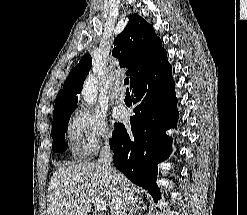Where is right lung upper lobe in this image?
<instances>
[{"label": "right lung upper lobe", "mask_w": 247, "mask_h": 215, "mask_svg": "<svg viewBox=\"0 0 247 215\" xmlns=\"http://www.w3.org/2000/svg\"><path fill=\"white\" fill-rule=\"evenodd\" d=\"M164 52L153 27L138 14H134L123 32L115 38L112 55L119 60L121 67L128 68L126 74L132 83L152 67ZM91 63V56L85 55L70 73L56 97L53 115L76 106L78 98L75 94L80 93Z\"/></svg>", "instance_id": "cb5924a9"}]
</instances>
